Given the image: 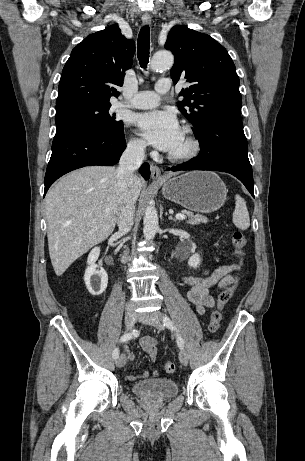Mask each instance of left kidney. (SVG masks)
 Wrapping results in <instances>:
<instances>
[{"label": "left kidney", "instance_id": "1", "mask_svg": "<svg viewBox=\"0 0 305 461\" xmlns=\"http://www.w3.org/2000/svg\"><path fill=\"white\" fill-rule=\"evenodd\" d=\"M201 263V258L198 253L193 254L189 260H188V265L193 268H197Z\"/></svg>", "mask_w": 305, "mask_h": 461}]
</instances>
